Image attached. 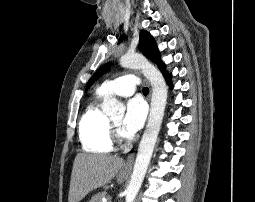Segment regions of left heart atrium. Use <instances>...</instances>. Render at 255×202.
Masks as SVG:
<instances>
[{
  "label": "left heart atrium",
  "mask_w": 255,
  "mask_h": 202,
  "mask_svg": "<svg viewBox=\"0 0 255 202\" xmlns=\"http://www.w3.org/2000/svg\"><path fill=\"white\" fill-rule=\"evenodd\" d=\"M147 109L140 99H131L126 106V114L122 122V132L125 136H133L144 125Z\"/></svg>",
  "instance_id": "left-heart-atrium-1"
}]
</instances>
